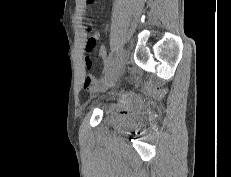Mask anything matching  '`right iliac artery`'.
Returning <instances> with one entry per match:
<instances>
[{"label":"right iliac artery","instance_id":"right-iliac-artery-1","mask_svg":"<svg viewBox=\"0 0 231 177\" xmlns=\"http://www.w3.org/2000/svg\"><path fill=\"white\" fill-rule=\"evenodd\" d=\"M112 64H113V55H112V53H111V54L109 55V57H108L106 63H105V67H104V70H103V74H104V73H107V72L109 71V69L111 68Z\"/></svg>","mask_w":231,"mask_h":177}]
</instances>
